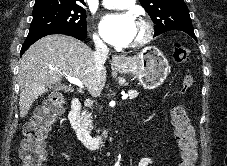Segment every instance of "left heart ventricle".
Returning <instances> with one entry per match:
<instances>
[{
    "label": "left heart ventricle",
    "instance_id": "b2bd125f",
    "mask_svg": "<svg viewBox=\"0 0 227 166\" xmlns=\"http://www.w3.org/2000/svg\"><path fill=\"white\" fill-rule=\"evenodd\" d=\"M141 34H142L141 26L139 25V23H136L135 24L134 35H133V38H132L131 42H134L137 39H139Z\"/></svg>",
    "mask_w": 227,
    "mask_h": 166
}]
</instances>
